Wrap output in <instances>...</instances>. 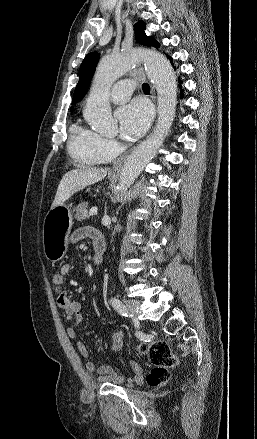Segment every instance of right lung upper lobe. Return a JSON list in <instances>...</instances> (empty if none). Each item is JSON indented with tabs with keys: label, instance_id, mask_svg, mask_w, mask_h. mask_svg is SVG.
<instances>
[{
	"label": "right lung upper lobe",
	"instance_id": "obj_1",
	"mask_svg": "<svg viewBox=\"0 0 257 439\" xmlns=\"http://www.w3.org/2000/svg\"><path fill=\"white\" fill-rule=\"evenodd\" d=\"M72 110H73V107H71L70 111H72Z\"/></svg>",
	"mask_w": 257,
	"mask_h": 439
}]
</instances>
